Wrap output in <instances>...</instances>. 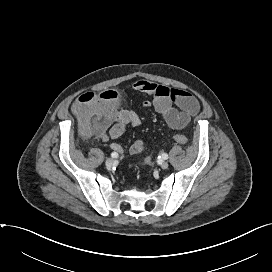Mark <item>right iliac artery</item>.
<instances>
[{"instance_id":"obj_1","label":"right iliac artery","mask_w":272,"mask_h":272,"mask_svg":"<svg viewBox=\"0 0 272 272\" xmlns=\"http://www.w3.org/2000/svg\"><path fill=\"white\" fill-rule=\"evenodd\" d=\"M111 157H112V158H118V153L112 152V153H111Z\"/></svg>"}]
</instances>
